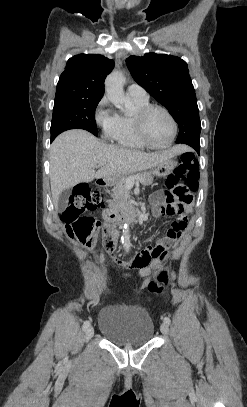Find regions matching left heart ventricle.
<instances>
[{
	"instance_id": "left-heart-ventricle-1",
	"label": "left heart ventricle",
	"mask_w": 247,
	"mask_h": 407,
	"mask_svg": "<svg viewBox=\"0 0 247 407\" xmlns=\"http://www.w3.org/2000/svg\"><path fill=\"white\" fill-rule=\"evenodd\" d=\"M144 130L147 139L154 145L166 144L172 135L170 119L160 110H153L145 119Z\"/></svg>"
}]
</instances>
